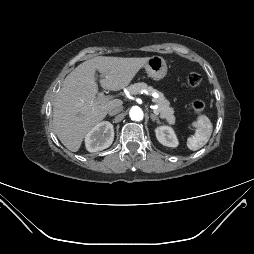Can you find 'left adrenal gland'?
<instances>
[{"label":"left adrenal gland","mask_w":254,"mask_h":254,"mask_svg":"<svg viewBox=\"0 0 254 254\" xmlns=\"http://www.w3.org/2000/svg\"><path fill=\"white\" fill-rule=\"evenodd\" d=\"M150 118L153 122L156 121L158 124H160V120H159V117L157 115L151 113Z\"/></svg>","instance_id":"obj_1"}]
</instances>
